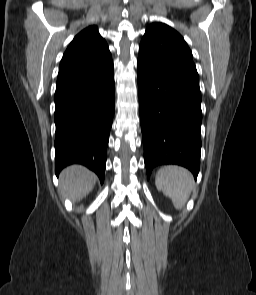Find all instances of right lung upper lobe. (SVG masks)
<instances>
[{"mask_svg":"<svg viewBox=\"0 0 256 295\" xmlns=\"http://www.w3.org/2000/svg\"><path fill=\"white\" fill-rule=\"evenodd\" d=\"M112 61L106 41L96 26L81 31L69 44L60 62L58 78Z\"/></svg>","mask_w":256,"mask_h":295,"instance_id":"cb5924a9","label":"right lung upper lobe"}]
</instances>
